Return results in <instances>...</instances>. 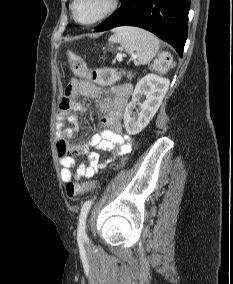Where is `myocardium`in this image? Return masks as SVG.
<instances>
[{
    "label": "myocardium",
    "mask_w": 233,
    "mask_h": 284,
    "mask_svg": "<svg viewBox=\"0 0 233 284\" xmlns=\"http://www.w3.org/2000/svg\"><path fill=\"white\" fill-rule=\"evenodd\" d=\"M78 2L79 0H73L72 5H71V13H72L73 19L78 24H81L84 26H91V25L101 22L102 20L106 19L111 14H113L120 5V0H108L107 7L104 9V11L100 15H98L96 18L90 21H81L76 15V7H77Z\"/></svg>",
    "instance_id": "f54148a6"
}]
</instances>
